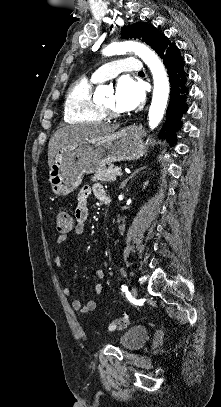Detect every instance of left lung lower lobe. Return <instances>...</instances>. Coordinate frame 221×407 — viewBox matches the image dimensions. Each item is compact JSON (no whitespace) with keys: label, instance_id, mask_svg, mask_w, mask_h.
Returning <instances> with one entry per match:
<instances>
[{"label":"left lung lower lobe","instance_id":"0a47b994","mask_svg":"<svg viewBox=\"0 0 221 407\" xmlns=\"http://www.w3.org/2000/svg\"><path fill=\"white\" fill-rule=\"evenodd\" d=\"M157 53L167 68L171 85L167 118L159 132V137L161 139H166L173 145L176 143V132L182 125V115L188 108L186 103L188 95V74L185 71L184 59L180 50L164 34L159 41Z\"/></svg>","mask_w":221,"mask_h":407}]
</instances>
